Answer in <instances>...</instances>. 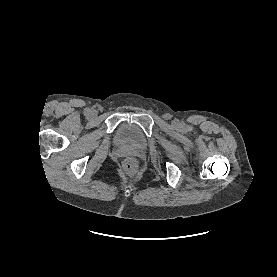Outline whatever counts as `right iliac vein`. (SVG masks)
I'll use <instances>...</instances> for the list:
<instances>
[{"instance_id": "right-iliac-vein-1", "label": "right iliac vein", "mask_w": 277, "mask_h": 277, "mask_svg": "<svg viewBox=\"0 0 277 277\" xmlns=\"http://www.w3.org/2000/svg\"><path fill=\"white\" fill-rule=\"evenodd\" d=\"M91 117H95L97 115L96 111H91L89 114Z\"/></svg>"}]
</instances>
